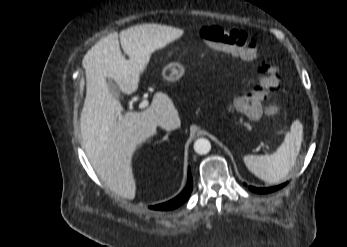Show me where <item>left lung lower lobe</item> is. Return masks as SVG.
Here are the masks:
<instances>
[{
    "mask_svg": "<svg viewBox=\"0 0 347 247\" xmlns=\"http://www.w3.org/2000/svg\"><path fill=\"white\" fill-rule=\"evenodd\" d=\"M285 185H286V183L281 184V185L276 186V187H270V188H255V187L249 186V189L251 191L256 192V193H270V192H273V191L281 189Z\"/></svg>",
    "mask_w": 347,
    "mask_h": 247,
    "instance_id": "1",
    "label": "left lung lower lobe"
}]
</instances>
